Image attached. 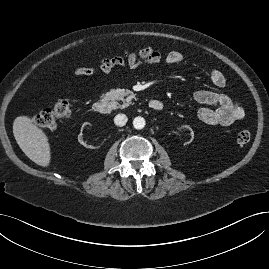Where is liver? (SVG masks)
Segmentation results:
<instances>
[{"mask_svg":"<svg viewBox=\"0 0 269 269\" xmlns=\"http://www.w3.org/2000/svg\"><path fill=\"white\" fill-rule=\"evenodd\" d=\"M13 135L21 150L34 163L47 167L51 161L50 144L46 133L35 124V119L18 116L13 122Z\"/></svg>","mask_w":269,"mask_h":269,"instance_id":"6515ba94","label":"liver"}]
</instances>
